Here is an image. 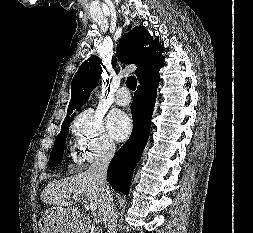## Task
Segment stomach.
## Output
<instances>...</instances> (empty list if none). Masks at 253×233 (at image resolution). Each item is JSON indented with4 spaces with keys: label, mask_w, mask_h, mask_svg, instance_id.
<instances>
[{
    "label": "stomach",
    "mask_w": 253,
    "mask_h": 233,
    "mask_svg": "<svg viewBox=\"0 0 253 233\" xmlns=\"http://www.w3.org/2000/svg\"><path fill=\"white\" fill-rule=\"evenodd\" d=\"M75 214L71 209L50 208L39 221L41 233H80Z\"/></svg>",
    "instance_id": "1"
}]
</instances>
